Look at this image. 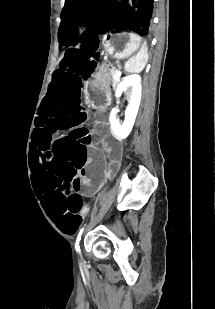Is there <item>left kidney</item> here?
<instances>
[{
    "label": "left kidney",
    "instance_id": "1",
    "mask_svg": "<svg viewBox=\"0 0 215 309\" xmlns=\"http://www.w3.org/2000/svg\"><path fill=\"white\" fill-rule=\"evenodd\" d=\"M129 86H132V90L129 96V104L125 110V120L120 122L117 114V108H112L109 116L111 122V128L113 134L121 140V138H127L130 134L135 118L137 116L140 100H141V78L139 74H130L125 76L124 80L118 84L115 92V96H121L124 90H128Z\"/></svg>",
    "mask_w": 215,
    "mask_h": 309
}]
</instances>
